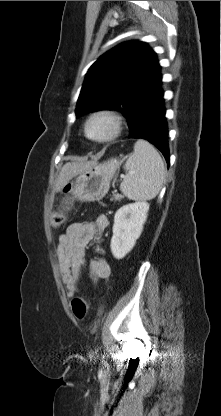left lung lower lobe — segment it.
<instances>
[{
    "label": "left lung lower lobe",
    "mask_w": 221,
    "mask_h": 416,
    "mask_svg": "<svg viewBox=\"0 0 221 416\" xmlns=\"http://www.w3.org/2000/svg\"><path fill=\"white\" fill-rule=\"evenodd\" d=\"M162 77L158 84L140 101L129 125V138L145 139L156 146L170 164L168 127L165 118Z\"/></svg>",
    "instance_id": "1"
}]
</instances>
